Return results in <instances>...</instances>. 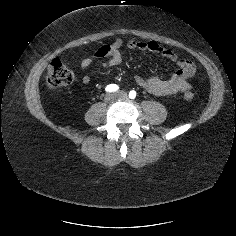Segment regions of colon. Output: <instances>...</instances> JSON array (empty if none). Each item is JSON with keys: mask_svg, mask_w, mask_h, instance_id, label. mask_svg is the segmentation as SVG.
Listing matches in <instances>:
<instances>
[{"mask_svg": "<svg viewBox=\"0 0 236 236\" xmlns=\"http://www.w3.org/2000/svg\"><path fill=\"white\" fill-rule=\"evenodd\" d=\"M74 74L65 65L63 59H54L47 69L46 82L49 88L57 89L67 86L73 82ZM185 99L190 101L193 94L189 91L185 93Z\"/></svg>", "mask_w": 236, "mask_h": 236, "instance_id": "obj_1", "label": "colon"}]
</instances>
